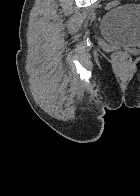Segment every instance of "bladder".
<instances>
[{
	"label": "bladder",
	"mask_w": 140,
	"mask_h": 196,
	"mask_svg": "<svg viewBox=\"0 0 140 196\" xmlns=\"http://www.w3.org/2000/svg\"><path fill=\"white\" fill-rule=\"evenodd\" d=\"M102 34L112 43L140 47V5L123 4L107 11Z\"/></svg>",
	"instance_id": "31cf9c89"
}]
</instances>
